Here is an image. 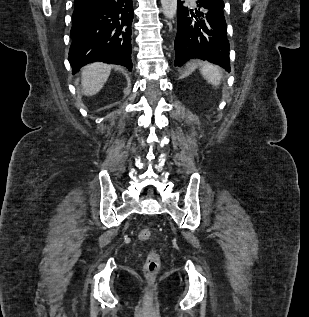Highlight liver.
<instances>
[{"label":"liver","instance_id":"6515ba94","mask_svg":"<svg viewBox=\"0 0 309 317\" xmlns=\"http://www.w3.org/2000/svg\"><path fill=\"white\" fill-rule=\"evenodd\" d=\"M111 72V66L104 63H93L82 69L83 94L93 96L97 94L106 83Z\"/></svg>","mask_w":309,"mask_h":317}]
</instances>
